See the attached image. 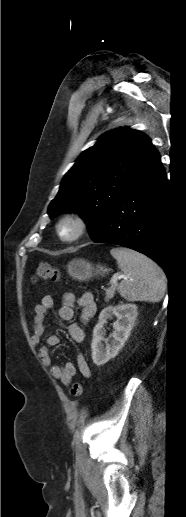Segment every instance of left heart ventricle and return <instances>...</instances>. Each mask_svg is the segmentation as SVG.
I'll return each mask as SVG.
<instances>
[{"mask_svg": "<svg viewBox=\"0 0 186 517\" xmlns=\"http://www.w3.org/2000/svg\"><path fill=\"white\" fill-rule=\"evenodd\" d=\"M72 231H73V228H72L71 225H66V226L63 227V232L65 234H70Z\"/></svg>", "mask_w": 186, "mask_h": 517, "instance_id": "1", "label": "left heart ventricle"}]
</instances>
